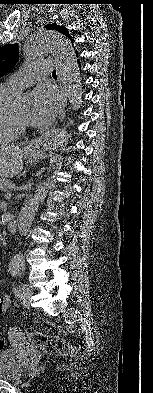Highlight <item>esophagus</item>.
<instances>
[{
    "mask_svg": "<svg viewBox=\"0 0 153 393\" xmlns=\"http://www.w3.org/2000/svg\"><path fill=\"white\" fill-rule=\"evenodd\" d=\"M66 105H67V99H66V97H64L62 100L61 106H60L59 118H58L59 121H62L65 117ZM38 144H39V139L32 140V142L28 146V149L29 150L35 149L38 146Z\"/></svg>",
    "mask_w": 153,
    "mask_h": 393,
    "instance_id": "esophagus-1",
    "label": "esophagus"
}]
</instances>
